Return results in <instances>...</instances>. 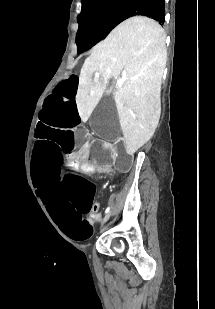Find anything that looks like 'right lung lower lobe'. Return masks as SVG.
<instances>
[{
    "label": "right lung lower lobe",
    "mask_w": 215,
    "mask_h": 309,
    "mask_svg": "<svg viewBox=\"0 0 215 309\" xmlns=\"http://www.w3.org/2000/svg\"><path fill=\"white\" fill-rule=\"evenodd\" d=\"M133 16H146L163 23L165 21V0H131L116 20L115 26Z\"/></svg>",
    "instance_id": "right-lung-lower-lobe-1"
}]
</instances>
